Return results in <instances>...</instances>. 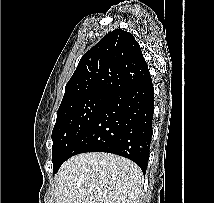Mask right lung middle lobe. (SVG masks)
<instances>
[{"instance_id":"1","label":"right lung middle lobe","mask_w":214,"mask_h":203,"mask_svg":"<svg viewBox=\"0 0 214 203\" xmlns=\"http://www.w3.org/2000/svg\"><path fill=\"white\" fill-rule=\"evenodd\" d=\"M110 96L92 93L60 105L52 131L53 173L67 160L72 146L90 126Z\"/></svg>"}]
</instances>
